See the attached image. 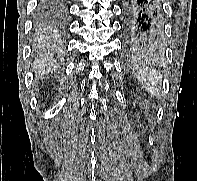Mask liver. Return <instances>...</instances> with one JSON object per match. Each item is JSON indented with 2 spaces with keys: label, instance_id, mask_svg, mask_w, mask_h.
<instances>
[{
  "label": "liver",
  "instance_id": "liver-1",
  "mask_svg": "<svg viewBox=\"0 0 197 181\" xmlns=\"http://www.w3.org/2000/svg\"><path fill=\"white\" fill-rule=\"evenodd\" d=\"M57 62L51 57H41L35 61V77L38 78L43 74L55 69Z\"/></svg>",
  "mask_w": 197,
  "mask_h": 181
}]
</instances>
